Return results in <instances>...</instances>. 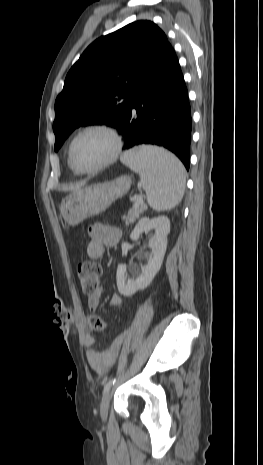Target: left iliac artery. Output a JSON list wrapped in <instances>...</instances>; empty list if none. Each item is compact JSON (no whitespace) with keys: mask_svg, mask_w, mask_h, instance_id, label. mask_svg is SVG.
<instances>
[{"mask_svg":"<svg viewBox=\"0 0 263 465\" xmlns=\"http://www.w3.org/2000/svg\"><path fill=\"white\" fill-rule=\"evenodd\" d=\"M116 379L115 378H112L110 379L104 386V390L103 392L105 393L106 391H108L110 389V387L115 383Z\"/></svg>","mask_w":263,"mask_h":465,"instance_id":"left-iliac-artery-1","label":"left iliac artery"}]
</instances>
